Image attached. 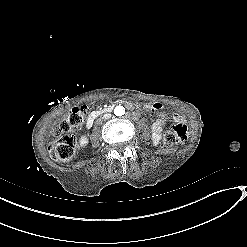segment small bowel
<instances>
[{"mask_svg": "<svg viewBox=\"0 0 247 247\" xmlns=\"http://www.w3.org/2000/svg\"><path fill=\"white\" fill-rule=\"evenodd\" d=\"M173 118L177 122H181L183 120L182 116L179 114H175ZM165 125L166 121L164 118H158L154 121L152 125V138L155 143H158L161 140L162 131Z\"/></svg>", "mask_w": 247, "mask_h": 247, "instance_id": "obj_1", "label": "small bowel"}]
</instances>
